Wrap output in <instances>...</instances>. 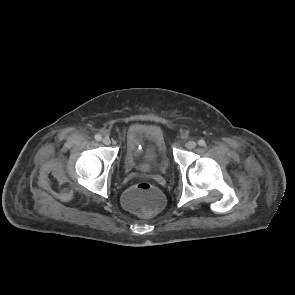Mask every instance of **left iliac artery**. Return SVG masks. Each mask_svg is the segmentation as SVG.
Wrapping results in <instances>:
<instances>
[{"label": "left iliac artery", "mask_w": 295, "mask_h": 295, "mask_svg": "<svg viewBox=\"0 0 295 295\" xmlns=\"http://www.w3.org/2000/svg\"><path fill=\"white\" fill-rule=\"evenodd\" d=\"M198 144H199V146H205L206 145V143H205V141L203 139H200L198 141Z\"/></svg>", "instance_id": "left-iliac-artery-1"}]
</instances>
